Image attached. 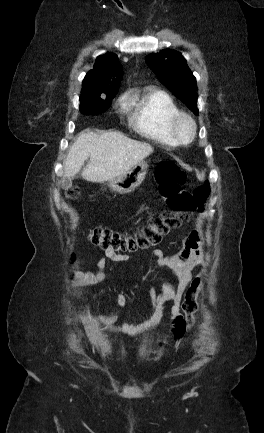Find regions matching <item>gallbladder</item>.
<instances>
[{
    "label": "gallbladder",
    "mask_w": 264,
    "mask_h": 433,
    "mask_svg": "<svg viewBox=\"0 0 264 433\" xmlns=\"http://www.w3.org/2000/svg\"><path fill=\"white\" fill-rule=\"evenodd\" d=\"M72 186V181L70 178L64 177L61 181V187L63 189H68Z\"/></svg>",
    "instance_id": "1"
}]
</instances>
